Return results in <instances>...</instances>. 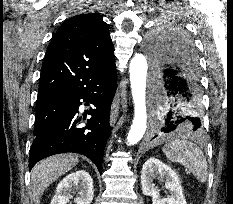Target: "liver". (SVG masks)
Listing matches in <instances>:
<instances>
[{"label": "liver", "instance_id": "obj_1", "mask_svg": "<svg viewBox=\"0 0 233 204\" xmlns=\"http://www.w3.org/2000/svg\"><path fill=\"white\" fill-rule=\"evenodd\" d=\"M79 162L73 154H58L36 164L31 171V200L40 204L45 189Z\"/></svg>", "mask_w": 233, "mask_h": 204}]
</instances>
